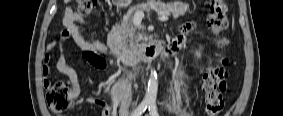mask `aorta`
Masks as SVG:
<instances>
[{
	"mask_svg": "<svg viewBox=\"0 0 283 116\" xmlns=\"http://www.w3.org/2000/svg\"><path fill=\"white\" fill-rule=\"evenodd\" d=\"M158 80L156 71H151L148 88L145 94V101L148 103H155L157 98Z\"/></svg>",
	"mask_w": 283,
	"mask_h": 116,
	"instance_id": "762f6f07",
	"label": "aorta"
}]
</instances>
